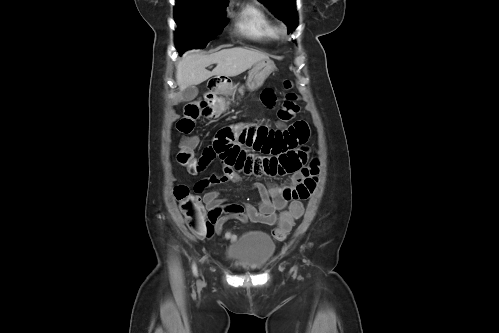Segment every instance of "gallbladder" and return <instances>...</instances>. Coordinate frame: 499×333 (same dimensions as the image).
I'll use <instances>...</instances> for the list:
<instances>
[{"mask_svg": "<svg viewBox=\"0 0 499 333\" xmlns=\"http://www.w3.org/2000/svg\"><path fill=\"white\" fill-rule=\"evenodd\" d=\"M198 90L194 86H190L183 91V95L187 100H192L197 96Z\"/></svg>", "mask_w": 499, "mask_h": 333, "instance_id": "gallbladder-1", "label": "gallbladder"}]
</instances>
